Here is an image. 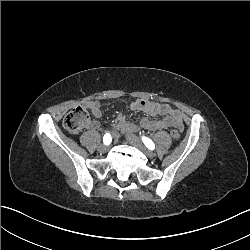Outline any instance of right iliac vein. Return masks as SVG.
Listing matches in <instances>:
<instances>
[{
    "label": "right iliac vein",
    "instance_id": "1",
    "mask_svg": "<svg viewBox=\"0 0 250 250\" xmlns=\"http://www.w3.org/2000/svg\"><path fill=\"white\" fill-rule=\"evenodd\" d=\"M98 149L100 152H106L108 150V146L105 144H101L99 145Z\"/></svg>",
    "mask_w": 250,
    "mask_h": 250
}]
</instances>
